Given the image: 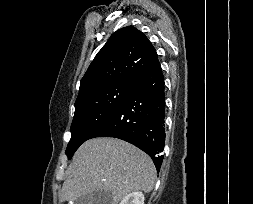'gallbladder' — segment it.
Here are the masks:
<instances>
[{
	"instance_id": "bac80fb5",
	"label": "gallbladder",
	"mask_w": 253,
	"mask_h": 204,
	"mask_svg": "<svg viewBox=\"0 0 253 204\" xmlns=\"http://www.w3.org/2000/svg\"><path fill=\"white\" fill-rule=\"evenodd\" d=\"M75 204H113L109 191L98 190L77 199Z\"/></svg>"
}]
</instances>
